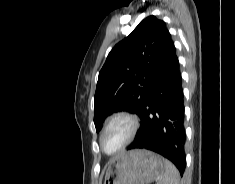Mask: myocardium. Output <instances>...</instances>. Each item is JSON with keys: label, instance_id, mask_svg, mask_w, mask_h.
<instances>
[{"label": "myocardium", "instance_id": "1", "mask_svg": "<svg viewBox=\"0 0 235 184\" xmlns=\"http://www.w3.org/2000/svg\"><path fill=\"white\" fill-rule=\"evenodd\" d=\"M121 118L128 121L130 126L129 133L126 139L124 140L123 144L121 145V147L118 149V151L113 154H108L102 149L101 142L103 134L110 126L113 125L115 121ZM139 129H140V119L133 111L124 108L113 111L106 119L98 137V142L101 152L107 156H117L121 154L134 141L139 132Z\"/></svg>", "mask_w": 235, "mask_h": 184}]
</instances>
